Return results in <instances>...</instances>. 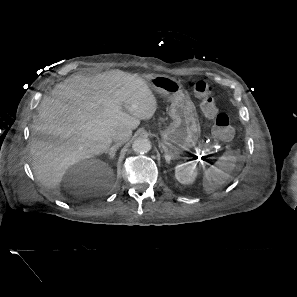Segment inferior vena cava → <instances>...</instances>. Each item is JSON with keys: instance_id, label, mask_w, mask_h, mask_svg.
I'll return each mask as SVG.
<instances>
[{"instance_id": "602c4592", "label": "inferior vena cava", "mask_w": 297, "mask_h": 297, "mask_svg": "<svg viewBox=\"0 0 297 297\" xmlns=\"http://www.w3.org/2000/svg\"><path fill=\"white\" fill-rule=\"evenodd\" d=\"M132 135V131L130 129H118L115 131L113 135V140L116 144H123L127 142Z\"/></svg>"}]
</instances>
